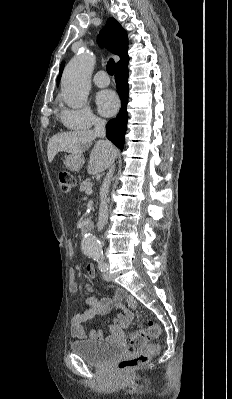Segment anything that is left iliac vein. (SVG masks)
I'll use <instances>...</instances> for the list:
<instances>
[{
  "label": "left iliac vein",
  "instance_id": "obj_1",
  "mask_svg": "<svg viewBox=\"0 0 232 399\" xmlns=\"http://www.w3.org/2000/svg\"><path fill=\"white\" fill-rule=\"evenodd\" d=\"M103 280L106 283H111L112 282V279L110 278V273L109 272H104L103 273Z\"/></svg>",
  "mask_w": 232,
  "mask_h": 399
}]
</instances>
